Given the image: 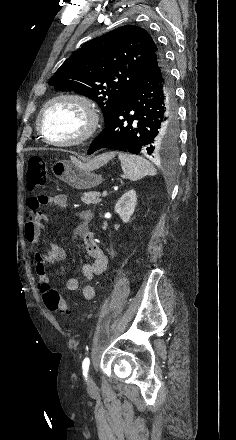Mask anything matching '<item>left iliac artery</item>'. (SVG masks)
I'll return each instance as SVG.
<instances>
[{
  "mask_svg": "<svg viewBox=\"0 0 236 440\" xmlns=\"http://www.w3.org/2000/svg\"><path fill=\"white\" fill-rule=\"evenodd\" d=\"M89 365H90V360H89L88 357H86L83 360V363H82L83 375H84L85 378H87V373H88V370H89Z\"/></svg>",
  "mask_w": 236,
  "mask_h": 440,
  "instance_id": "1",
  "label": "left iliac artery"
}]
</instances>
